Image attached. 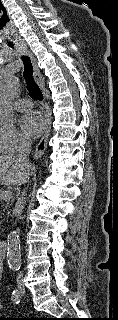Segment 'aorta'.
<instances>
[{"instance_id": "aorta-1", "label": "aorta", "mask_w": 118, "mask_h": 320, "mask_svg": "<svg viewBox=\"0 0 118 320\" xmlns=\"http://www.w3.org/2000/svg\"><path fill=\"white\" fill-rule=\"evenodd\" d=\"M19 81L14 75L0 77V127L10 128L14 123L12 103L18 91ZM20 238L16 231L7 236V262L12 270L21 266Z\"/></svg>"}]
</instances>
